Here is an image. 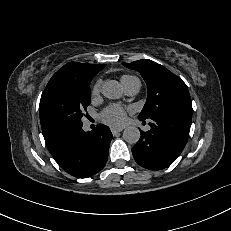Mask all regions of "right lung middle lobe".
I'll return each mask as SVG.
<instances>
[{
  "instance_id": "dd1d6c3e",
  "label": "right lung middle lobe",
  "mask_w": 231,
  "mask_h": 231,
  "mask_svg": "<svg viewBox=\"0 0 231 231\" xmlns=\"http://www.w3.org/2000/svg\"><path fill=\"white\" fill-rule=\"evenodd\" d=\"M89 83L65 79L48 82L39 105L42 131L56 133L82 123L91 100Z\"/></svg>"
}]
</instances>
